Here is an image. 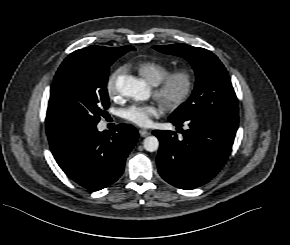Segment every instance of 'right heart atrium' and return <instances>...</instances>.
<instances>
[{"instance_id":"right-heart-atrium-1","label":"right heart atrium","mask_w":290,"mask_h":245,"mask_svg":"<svg viewBox=\"0 0 290 245\" xmlns=\"http://www.w3.org/2000/svg\"><path fill=\"white\" fill-rule=\"evenodd\" d=\"M123 72L122 68L116 69L108 78L106 84V91L110 98L116 99L120 96V91L118 89L117 80L119 75Z\"/></svg>"}]
</instances>
